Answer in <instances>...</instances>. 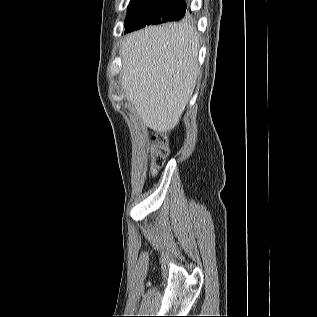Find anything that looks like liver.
<instances>
[{
	"label": "liver",
	"mask_w": 317,
	"mask_h": 317,
	"mask_svg": "<svg viewBox=\"0 0 317 317\" xmlns=\"http://www.w3.org/2000/svg\"><path fill=\"white\" fill-rule=\"evenodd\" d=\"M199 36L187 22L149 26L122 42V88L144 124L174 129L195 89Z\"/></svg>",
	"instance_id": "6515ba94"
}]
</instances>
